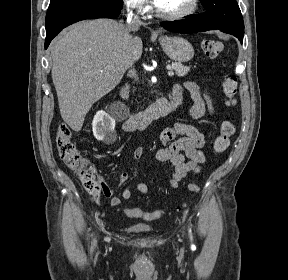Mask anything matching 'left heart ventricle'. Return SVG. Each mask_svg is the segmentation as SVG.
Segmentation results:
<instances>
[{"mask_svg": "<svg viewBox=\"0 0 288 280\" xmlns=\"http://www.w3.org/2000/svg\"><path fill=\"white\" fill-rule=\"evenodd\" d=\"M191 0H162L159 9L165 13H178L190 5Z\"/></svg>", "mask_w": 288, "mask_h": 280, "instance_id": "left-heart-ventricle-1", "label": "left heart ventricle"}]
</instances>
